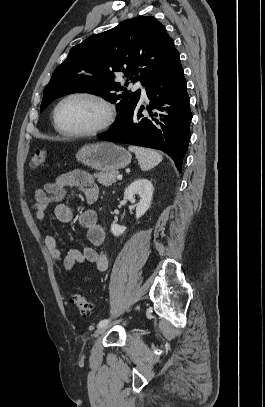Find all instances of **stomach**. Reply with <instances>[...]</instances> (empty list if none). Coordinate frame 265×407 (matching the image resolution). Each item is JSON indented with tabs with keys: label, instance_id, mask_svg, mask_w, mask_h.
Here are the masks:
<instances>
[{
	"label": "stomach",
	"instance_id": "stomach-1",
	"mask_svg": "<svg viewBox=\"0 0 265 407\" xmlns=\"http://www.w3.org/2000/svg\"><path fill=\"white\" fill-rule=\"evenodd\" d=\"M76 159L99 171H117L131 162V154L121 146L101 142L83 146L77 152Z\"/></svg>",
	"mask_w": 265,
	"mask_h": 407
}]
</instances>
